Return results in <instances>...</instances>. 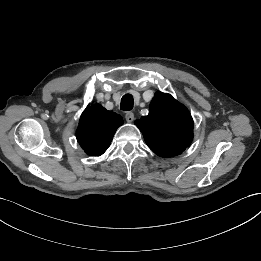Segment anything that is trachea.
Listing matches in <instances>:
<instances>
[{"label": "trachea", "instance_id": "1", "mask_svg": "<svg viewBox=\"0 0 261 261\" xmlns=\"http://www.w3.org/2000/svg\"><path fill=\"white\" fill-rule=\"evenodd\" d=\"M133 96L131 94H126L122 97L121 99V105H120V109L124 110V111H129L133 108Z\"/></svg>", "mask_w": 261, "mask_h": 261}]
</instances>
